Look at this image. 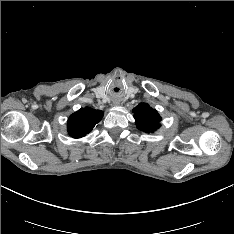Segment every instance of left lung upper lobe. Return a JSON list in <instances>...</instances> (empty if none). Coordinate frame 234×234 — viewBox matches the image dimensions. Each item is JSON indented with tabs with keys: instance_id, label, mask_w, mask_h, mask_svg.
Returning <instances> with one entry per match:
<instances>
[{
	"instance_id": "5c2ea615",
	"label": "left lung upper lobe",
	"mask_w": 234,
	"mask_h": 234,
	"mask_svg": "<svg viewBox=\"0 0 234 234\" xmlns=\"http://www.w3.org/2000/svg\"><path fill=\"white\" fill-rule=\"evenodd\" d=\"M138 129L144 132H153L160 127L161 117L155 109L146 103H140L133 109Z\"/></svg>"
}]
</instances>
